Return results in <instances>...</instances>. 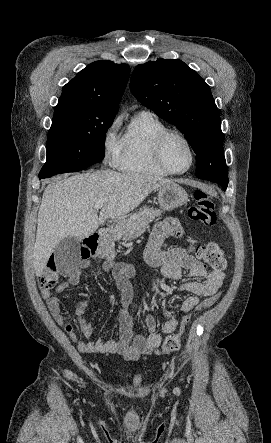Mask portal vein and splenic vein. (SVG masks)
Masks as SVG:
<instances>
[{
    "instance_id": "1",
    "label": "portal vein and splenic vein",
    "mask_w": 271,
    "mask_h": 443,
    "mask_svg": "<svg viewBox=\"0 0 271 443\" xmlns=\"http://www.w3.org/2000/svg\"><path fill=\"white\" fill-rule=\"evenodd\" d=\"M107 200H100V202H96V204H94L93 208H95V210H101V208H103V206H105Z\"/></svg>"
}]
</instances>
